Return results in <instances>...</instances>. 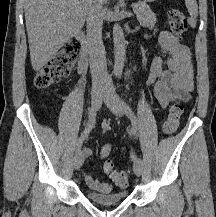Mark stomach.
<instances>
[{
  "label": "stomach",
  "instance_id": "1",
  "mask_svg": "<svg viewBox=\"0 0 216 217\" xmlns=\"http://www.w3.org/2000/svg\"><path fill=\"white\" fill-rule=\"evenodd\" d=\"M145 2H154L156 0H144Z\"/></svg>",
  "mask_w": 216,
  "mask_h": 217
}]
</instances>
